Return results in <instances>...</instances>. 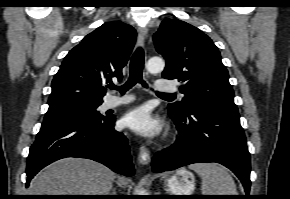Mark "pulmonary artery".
I'll return each instance as SVG.
<instances>
[{
	"label": "pulmonary artery",
	"instance_id": "e3ab8cb5",
	"mask_svg": "<svg viewBox=\"0 0 290 199\" xmlns=\"http://www.w3.org/2000/svg\"><path fill=\"white\" fill-rule=\"evenodd\" d=\"M155 85H156V89L160 93H172L177 90L175 83L170 82V81L157 80ZM132 100H133V97L131 96H124V97L109 96L104 101L103 107L104 109H112V108L126 105L130 103Z\"/></svg>",
	"mask_w": 290,
	"mask_h": 199
}]
</instances>
